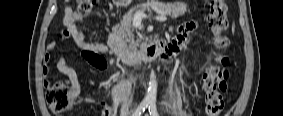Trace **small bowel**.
<instances>
[{
    "instance_id": "obj_1",
    "label": "small bowel",
    "mask_w": 283,
    "mask_h": 116,
    "mask_svg": "<svg viewBox=\"0 0 283 116\" xmlns=\"http://www.w3.org/2000/svg\"><path fill=\"white\" fill-rule=\"evenodd\" d=\"M63 24L65 30L60 35L59 40L63 42L67 37H71L75 45L82 50L83 58L90 64L98 67L101 70H104L106 67L105 60L99 53L107 52V47L99 41H87L83 30L78 26V24H84V18L82 15L75 12L72 8L67 7L64 11ZM196 24L194 22H189L184 24L180 29V35L172 40V43L169 45L168 49L165 51L163 58L166 60L168 57H171L173 54H176L185 44L187 40V33L195 28ZM56 47L55 43H51L48 46V49L52 51ZM50 58L49 54L46 55V60ZM56 68L60 73L65 75L68 78L71 89L76 97L80 95L81 85L78 79L77 72L67 64L66 59L61 56L56 61ZM189 85L192 88L193 94L196 97H200V92L195 83H192L188 79H183L180 82V87ZM181 89L177 91V94H180ZM93 102L98 103L102 106L101 115L110 116L120 108L121 116H129V102L123 101L121 99L116 100V104L109 105L103 100H92ZM119 104V105H118Z\"/></svg>"
}]
</instances>
